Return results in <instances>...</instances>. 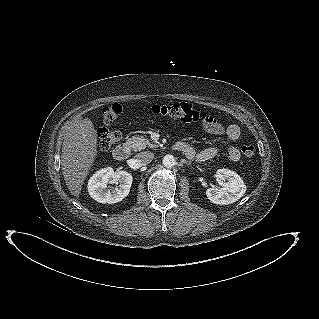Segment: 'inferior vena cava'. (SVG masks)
<instances>
[{
    "label": "inferior vena cava",
    "mask_w": 319,
    "mask_h": 319,
    "mask_svg": "<svg viewBox=\"0 0 319 319\" xmlns=\"http://www.w3.org/2000/svg\"><path fill=\"white\" fill-rule=\"evenodd\" d=\"M135 157V161L138 165H146L152 162L154 159V154L150 151H144L136 154Z\"/></svg>",
    "instance_id": "obj_1"
}]
</instances>
